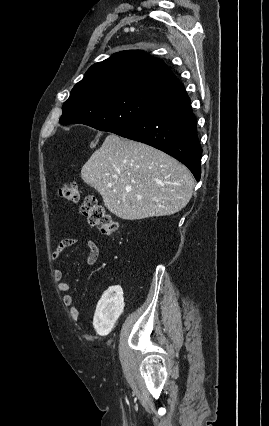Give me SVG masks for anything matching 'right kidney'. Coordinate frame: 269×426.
<instances>
[{"label":"right kidney","mask_w":269,"mask_h":426,"mask_svg":"<svg viewBox=\"0 0 269 426\" xmlns=\"http://www.w3.org/2000/svg\"><path fill=\"white\" fill-rule=\"evenodd\" d=\"M124 308L123 292L119 286H111L99 300L93 326L99 335L108 334Z\"/></svg>","instance_id":"ca27d5eb"}]
</instances>
